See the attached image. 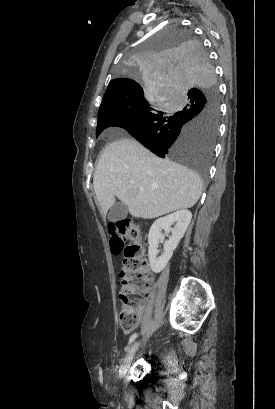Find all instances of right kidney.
<instances>
[{"instance_id": "1", "label": "right kidney", "mask_w": 275, "mask_h": 409, "mask_svg": "<svg viewBox=\"0 0 275 409\" xmlns=\"http://www.w3.org/2000/svg\"><path fill=\"white\" fill-rule=\"evenodd\" d=\"M191 219L192 213L190 211H176V213L167 215V217H161V219H157L153 223L148 235V257L153 273H161L165 269L173 255V251H175L179 241L184 237ZM171 225H175V227L172 229ZM161 231L172 233V235L169 237V241H166L161 257H157L159 243L164 241L165 237Z\"/></svg>"}]
</instances>
